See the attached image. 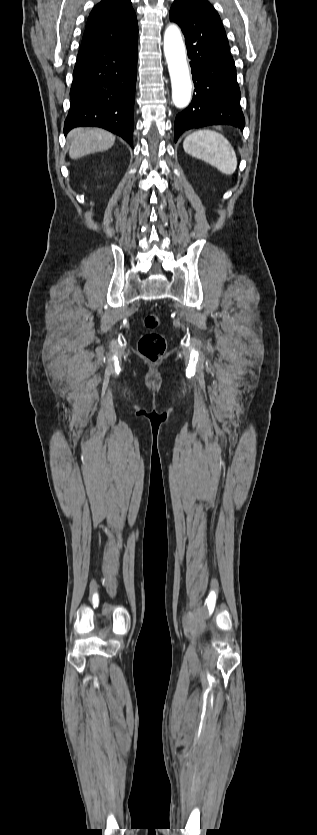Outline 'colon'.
Returning a JSON list of instances; mask_svg holds the SVG:
<instances>
[{"instance_id": "obj_1", "label": "colon", "mask_w": 317, "mask_h": 835, "mask_svg": "<svg viewBox=\"0 0 317 835\" xmlns=\"http://www.w3.org/2000/svg\"><path fill=\"white\" fill-rule=\"evenodd\" d=\"M143 324L146 328L153 329L158 326L159 319L155 314H149L144 317ZM138 351L150 361L159 360L166 351L165 337L159 333L144 334L139 340Z\"/></svg>"}]
</instances>
